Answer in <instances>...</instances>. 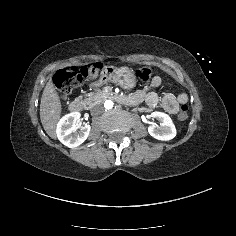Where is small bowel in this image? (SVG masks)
Segmentation results:
<instances>
[{"mask_svg": "<svg viewBox=\"0 0 236 236\" xmlns=\"http://www.w3.org/2000/svg\"><path fill=\"white\" fill-rule=\"evenodd\" d=\"M161 84V78L155 76L149 87L137 91L132 95L137 100V104L145 101L149 107H155L160 98L156 92L152 89L158 87ZM187 102V95L184 93L178 94L177 96L173 94H166L163 97L162 104L164 109L170 114H176L179 111L180 104H185Z\"/></svg>", "mask_w": 236, "mask_h": 236, "instance_id": "1", "label": "small bowel"}]
</instances>
